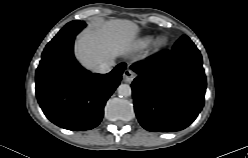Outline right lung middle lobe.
Wrapping results in <instances>:
<instances>
[{
  "mask_svg": "<svg viewBox=\"0 0 248 158\" xmlns=\"http://www.w3.org/2000/svg\"><path fill=\"white\" fill-rule=\"evenodd\" d=\"M78 23H81L80 21L78 20H75V21H71L69 22L68 24H66L65 26H71V25H75V24H78Z\"/></svg>",
  "mask_w": 248,
  "mask_h": 158,
  "instance_id": "dd1d6c3e",
  "label": "right lung middle lobe"
}]
</instances>
